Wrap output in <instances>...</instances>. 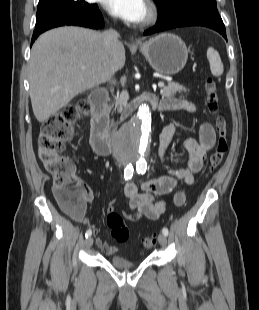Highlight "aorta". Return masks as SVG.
<instances>
[{
  "label": "aorta",
  "mask_w": 259,
  "mask_h": 310,
  "mask_svg": "<svg viewBox=\"0 0 259 310\" xmlns=\"http://www.w3.org/2000/svg\"><path fill=\"white\" fill-rule=\"evenodd\" d=\"M151 143V112L146 104L136 110L132 120L121 130L118 149L130 159L147 157Z\"/></svg>",
  "instance_id": "1"
}]
</instances>
